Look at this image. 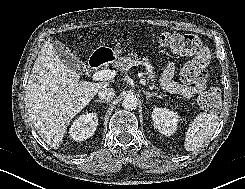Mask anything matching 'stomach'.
<instances>
[{
  "label": "stomach",
  "mask_w": 245,
  "mask_h": 189,
  "mask_svg": "<svg viewBox=\"0 0 245 189\" xmlns=\"http://www.w3.org/2000/svg\"><path fill=\"white\" fill-rule=\"evenodd\" d=\"M99 49L100 50L101 49L110 50L112 52L114 58H117L124 50V48H122L120 45H117L114 49H111V48H99Z\"/></svg>",
  "instance_id": "1"
}]
</instances>
